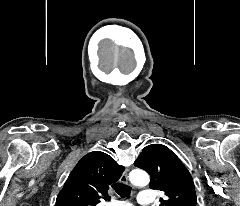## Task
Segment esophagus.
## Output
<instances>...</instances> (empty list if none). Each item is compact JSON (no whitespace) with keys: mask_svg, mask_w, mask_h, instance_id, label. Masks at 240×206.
Listing matches in <instances>:
<instances>
[{"mask_svg":"<svg viewBox=\"0 0 240 206\" xmlns=\"http://www.w3.org/2000/svg\"><path fill=\"white\" fill-rule=\"evenodd\" d=\"M120 182L123 184H127L128 183V171L125 170L120 178Z\"/></svg>","mask_w":240,"mask_h":206,"instance_id":"obj_1","label":"esophagus"}]
</instances>
